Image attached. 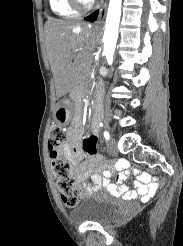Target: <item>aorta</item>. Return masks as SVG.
Segmentation results:
<instances>
[{
    "instance_id": "762f6f07",
    "label": "aorta",
    "mask_w": 183,
    "mask_h": 246,
    "mask_svg": "<svg viewBox=\"0 0 183 246\" xmlns=\"http://www.w3.org/2000/svg\"><path fill=\"white\" fill-rule=\"evenodd\" d=\"M121 7L122 0H110L103 36V54L105 55L108 62L113 60V55L118 39Z\"/></svg>"
}]
</instances>
